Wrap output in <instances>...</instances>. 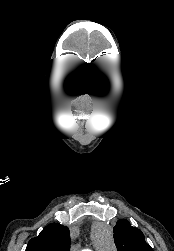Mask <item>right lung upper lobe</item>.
Returning <instances> with one entry per match:
<instances>
[{
  "label": "right lung upper lobe",
  "instance_id": "1",
  "mask_svg": "<svg viewBox=\"0 0 174 251\" xmlns=\"http://www.w3.org/2000/svg\"><path fill=\"white\" fill-rule=\"evenodd\" d=\"M69 229L58 223L47 225L40 234L32 238L25 251H69Z\"/></svg>",
  "mask_w": 174,
  "mask_h": 251
}]
</instances>
